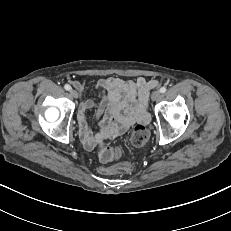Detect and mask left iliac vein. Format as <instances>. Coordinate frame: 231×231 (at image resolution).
Here are the masks:
<instances>
[{"label": "left iliac vein", "instance_id": "obj_1", "mask_svg": "<svg viewBox=\"0 0 231 231\" xmlns=\"http://www.w3.org/2000/svg\"><path fill=\"white\" fill-rule=\"evenodd\" d=\"M160 96H161V94H160L159 91H154V92H152V94H151V99H152L153 101H157V100L160 98Z\"/></svg>", "mask_w": 231, "mask_h": 231}]
</instances>
